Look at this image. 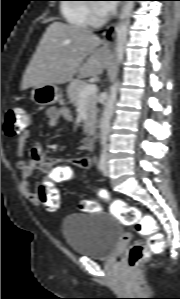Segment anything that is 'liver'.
Listing matches in <instances>:
<instances>
[{
  "mask_svg": "<svg viewBox=\"0 0 180 299\" xmlns=\"http://www.w3.org/2000/svg\"><path fill=\"white\" fill-rule=\"evenodd\" d=\"M92 31L53 22L46 29L26 71L21 90L64 84L77 75L97 77L108 67L110 53Z\"/></svg>",
  "mask_w": 180,
  "mask_h": 299,
  "instance_id": "6515ba94",
  "label": "liver"
}]
</instances>
